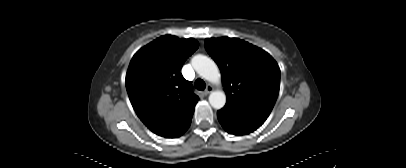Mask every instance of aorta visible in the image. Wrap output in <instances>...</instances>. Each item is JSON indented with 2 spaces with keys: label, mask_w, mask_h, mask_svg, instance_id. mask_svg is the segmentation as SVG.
<instances>
[{
  "label": "aorta",
  "mask_w": 406,
  "mask_h": 168,
  "mask_svg": "<svg viewBox=\"0 0 406 168\" xmlns=\"http://www.w3.org/2000/svg\"><path fill=\"white\" fill-rule=\"evenodd\" d=\"M192 66L195 71L204 79L212 83L220 82V71L216 63L205 55H196L192 58ZM209 103L214 109H221L226 103V95L223 91L217 90L209 95Z\"/></svg>",
  "instance_id": "1"
}]
</instances>
